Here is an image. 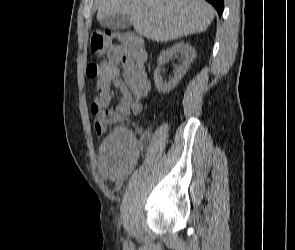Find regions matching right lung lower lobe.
<instances>
[{"mask_svg":"<svg viewBox=\"0 0 295 250\" xmlns=\"http://www.w3.org/2000/svg\"><path fill=\"white\" fill-rule=\"evenodd\" d=\"M209 3H211L215 9L217 10L219 16H221L223 12V5H224V0H206Z\"/></svg>","mask_w":295,"mask_h":250,"instance_id":"1","label":"right lung lower lobe"}]
</instances>
